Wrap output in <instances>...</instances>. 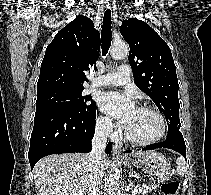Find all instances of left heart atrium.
Segmentation results:
<instances>
[{"label":"left heart atrium","instance_id":"obj_1","mask_svg":"<svg viewBox=\"0 0 211 195\" xmlns=\"http://www.w3.org/2000/svg\"><path fill=\"white\" fill-rule=\"evenodd\" d=\"M99 106L104 112L117 119L124 126H127L137 109L129 94L118 92L102 94Z\"/></svg>","mask_w":211,"mask_h":195}]
</instances>
